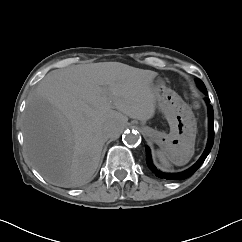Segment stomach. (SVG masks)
I'll return each mask as SVG.
<instances>
[{
    "label": "stomach",
    "instance_id": "stomach-1",
    "mask_svg": "<svg viewBox=\"0 0 242 242\" xmlns=\"http://www.w3.org/2000/svg\"><path fill=\"white\" fill-rule=\"evenodd\" d=\"M155 104L170 126V133L159 132L143 126V133L161 149L177 151L183 159H189L194 151L196 137V120L191 108L182 98L165 85L156 88Z\"/></svg>",
    "mask_w": 242,
    "mask_h": 242
}]
</instances>
